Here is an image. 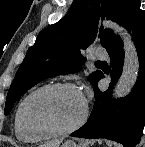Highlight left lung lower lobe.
Here are the masks:
<instances>
[{
	"label": "left lung lower lobe",
	"instance_id": "0a47b994",
	"mask_svg": "<svg viewBox=\"0 0 145 147\" xmlns=\"http://www.w3.org/2000/svg\"><path fill=\"white\" fill-rule=\"evenodd\" d=\"M139 0H131L122 26L132 34L139 57V73L132 91L125 98L112 99L111 90L122 73L124 50L121 39L116 36L106 49L110 56L112 78L109 89L102 92L97 87L103 73L94 84L95 103L89 120L73 137L86 139L107 138L120 142L124 147H134L142 136L145 125V12Z\"/></svg>",
	"mask_w": 145,
	"mask_h": 147
}]
</instances>
